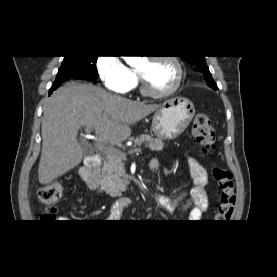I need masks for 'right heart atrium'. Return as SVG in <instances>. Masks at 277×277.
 <instances>
[{
	"instance_id": "d8ad5b80",
	"label": "right heart atrium",
	"mask_w": 277,
	"mask_h": 277,
	"mask_svg": "<svg viewBox=\"0 0 277 277\" xmlns=\"http://www.w3.org/2000/svg\"><path fill=\"white\" fill-rule=\"evenodd\" d=\"M96 67L101 81L109 90L125 93L136 84L135 73L115 53L99 56Z\"/></svg>"
}]
</instances>
